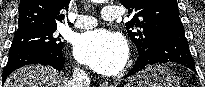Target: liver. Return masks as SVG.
<instances>
[{
    "instance_id": "liver-1",
    "label": "liver",
    "mask_w": 205,
    "mask_h": 87,
    "mask_svg": "<svg viewBox=\"0 0 205 87\" xmlns=\"http://www.w3.org/2000/svg\"><path fill=\"white\" fill-rule=\"evenodd\" d=\"M68 81L50 66L29 65L12 73L3 87H67Z\"/></svg>"
}]
</instances>
